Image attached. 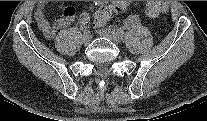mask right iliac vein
<instances>
[{"instance_id": "right-iliac-vein-1", "label": "right iliac vein", "mask_w": 207, "mask_h": 121, "mask_svg": "<svg viewBox=\"0 0 207 121\" xmlns=\"http://www.w3.org/2000/svg\"><path fill=\"white\" fill-rule=\"evenodd\" d=\"M82 41L84 44H88L91 41V34L89 31H85L83 36H82Z\"/></svg>"}]
</instances>
